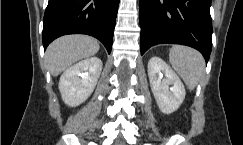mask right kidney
Segmentation results:
<instances>
[{
  "label": "right kidney",
  "mask_w": 243,
  "mask_h": 145,
  "mask_svg": "<svg viewBox=\"0 0 243 145\" xmlns=\"http://www.w3.org/2000/svg\"><path fill=\"white\" fill-rule=\"evenodd\" d=\"M102 71V61L98 57L86 58L62 74L59 90L63 101L75 107L86 101L92 94Z\"/></svg>",
  "instance_id": "right-kidney-1"
}]
</instances>
